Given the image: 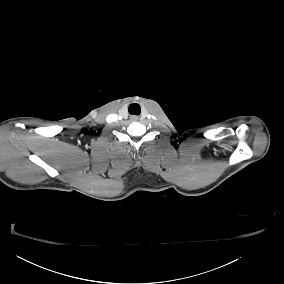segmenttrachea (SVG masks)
Wrapping results in <instances>:
<instances>
[{
    "label": "trachea",
    "instance_id": "3493384b",
    "mask_svg": "<svg viewBox=\"0 0 284 284\" xmlns=\"http://www.w3.org/2000/svg\"><path fill=\"white\" fill-rule=\"evenodd\" d=\"M128 112L131 114V115H139L140 112H141V108L139 106V104H131L129 107H128Z\"/></svg>",
    "mask_w": 284,
    "mask_h": 284
}]
</instances>
